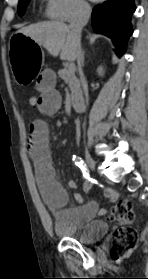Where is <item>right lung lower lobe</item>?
Returning <instances> with one entry per match:
<instances>
[{
	"label": "right lung lower lobe",
	"instance_id": "obj_1",
	"mask_svg": "<svg viewBox=\"0 0 148 279\" xmlns=\"http://www.w3.org/2000/svg\"><path fill=\"white\" fill-rule=\"evenodd\" d=\"M135 9L134 0H107L93 9L94 31L113 40L119 57L124 54L126 42L133 33L131 15Z\"/></svg>",
	"mask_w": 148,
	"mask_h": 279
}]
</instances>
